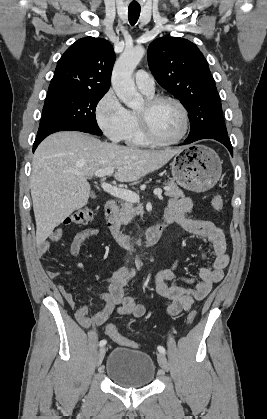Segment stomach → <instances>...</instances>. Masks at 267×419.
I'll list each match as a JSON object with an SVG mask.
<instances>
[{
    "label": "stomach",
    "mask_w": 267,
    "mask_h": 419,
    "mask_svg": "<svg viewBox=\"0 0 267 419\" xmlns=\"http://www.w3.org/2000/svg\"><path fill=\"white\" fill-rule=\"evenodd\" d=\"M222 162L217 153L200 144L184 146L171 163L173 179L183 188L205 192L219 180Z\"/></svg>",
    "instance_id": "0dacf381"
}]
</instances>
